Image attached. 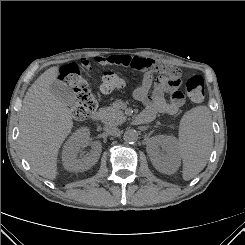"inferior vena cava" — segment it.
<instances>
[{
	"mask_svg": "<svg viewBox=\"0 0 245 245\" xmlns=\"http://www.w3.org/2000/svg\"><path fill=\"white\" fill-rule=\"evenodd\" d=\"M106 132L109 134V135H112L114 137H118L120 136L121 134V131L119 128L117 127H108L106 128Z\"/></svg>",
	"mask_w": 245,
	"mask_h": 245,
	"instance_id": "obj_1",
	"label": "inferior vena cava"
}]
</instances>
